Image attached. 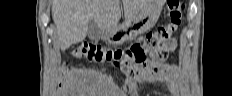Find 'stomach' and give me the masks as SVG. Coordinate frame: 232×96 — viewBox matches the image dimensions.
Instances as JSON below:
<instances>
[{
	"label": "stomach",
	"instance_id": "stomach-1",
	"mask_svg": "<svg viewBox=\"0 0 232 96\" xmlns=\"http://www.w3.org/2000/svg\"><path fill=\"white\" fill-rule=\"evenodd\" d=\"M164 1L150 0L132 20H126L116 28L104 31L102 37L113 45H120L134 37L149 31L157 22Z\"/></svg>",
	"mask_w": 232,
	"mask_h": 96
}]
</instances>
